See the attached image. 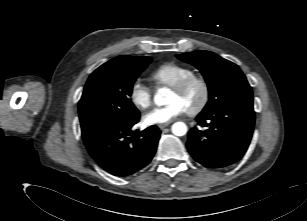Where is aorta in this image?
<instances>
[{
    "label": "aorta",
    "instance_id": "aorta-1",
    "mask_svg": "<svg viewBox=\"0 0 307 221\" xmlns=\"http://www.w3.org/2000/svg\"><path fill=\"white\" fill-rule=\"evenodd\" d=\"M167 93V89L162 88L159 89L158 92L154 96V102L158 106H163L166 104L165 95ZM172 132L176 136H183L187 132V126L183 122H176L172 125Z\"/></svg>",
    "mask_w": 307,
    "mask_h": 221
}]
</instances>
